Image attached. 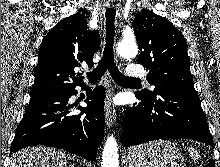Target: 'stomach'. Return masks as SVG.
<instances>
[{"instance_id":"stomach-1","label":"stomach","mask_w":220,"mask_h":167,"mask_svg":"<svg viewBox=\"0 0 220 167\" xmlns=\"http://www.w3.org/2000/svg\"><path fill=\"white\" fill-rule=\"evenodd\" d=\"M125 156L128 167H185L181 152L167 140L132 147Z\"/></svg>"}]
</instances>
